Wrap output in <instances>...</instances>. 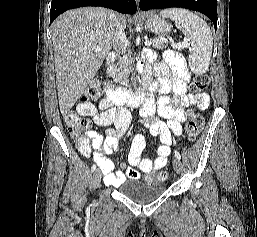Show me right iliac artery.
Returning <instances> with one entry per match:
<instances>
[{
	"label": "right iliac artery",
	"instance_id": "right-iliac-artery-1",
	"mask_svg": "<svg viewBox=\"0 0 257 237\" xmlns=\"http://www.w3.org/2000/svg\"><path fill=\"white\" fill-rule=\"evenodd\" d=\"M95 169H96V165L94 164V165L91 167V172H93Z\"/></svg>",
	"mask_w": 257,
	"mask_h": 237
}]
</instances>
